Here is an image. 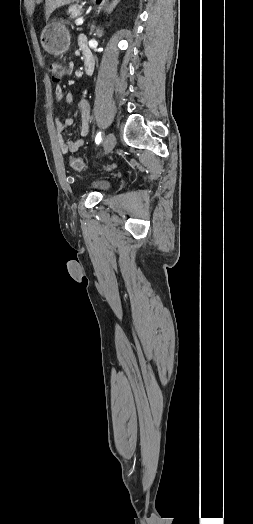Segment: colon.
Wrapping results in <instances>:
<instances>
[{
  "label": "colon",
  "instance_id": "1",
  "mask_svg": "<svg viewBox=\"0 0 253 524\" xmlns=\"http://www.w3.org/2000/svg\"><path fill=\"white\" fill-rule=\"evenodd\" d=\"M67 67L59 61H51L49 64V70L51 73V78L54 82H59L66 75ZM70 164L75 170H84L87 165L79 157H72L70 159Z\"/></svg>",
  "mask_w": 253,
  "mask_h": 524
}]
</instances>
